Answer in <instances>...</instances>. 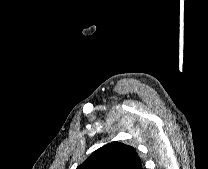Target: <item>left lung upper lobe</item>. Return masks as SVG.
Segmentation results:
<instances>
[{"label":"left lung upper lobe","instance_id":"obj_1","mask_svg":"<svg viewBox=\"0 0 208 169\" xmlns=\"http://www.w3.org/2000/svg\"><path fill=\"white\" fill-rule=\"evenodd\" d=\"M76 169H143L132 146L111 142L93 152Z\"/></svg>","mask_w":208,"mask_h":169}]
</instances>
